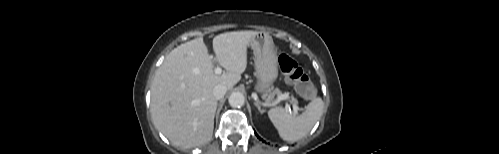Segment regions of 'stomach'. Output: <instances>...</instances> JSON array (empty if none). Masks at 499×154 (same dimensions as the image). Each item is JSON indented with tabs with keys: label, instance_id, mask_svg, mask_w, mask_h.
<instances>
[{
	"label": "stomach",
	"instance_id": "0dacf381",
	"mask_svg": "<svg viewBox=\"0 0 499 154\" xmlns=\"http://www.w3.org/2000/svg\"><path fill=\"white\" fill-rule=\"evenodd\" d=\"M254 52L256 91L266 96L278 77V57L272 37L267 32H258L250 40Z\"/></svg>",
	"mask_w": 499,
	"mask_h": 154
}]
</instances>
